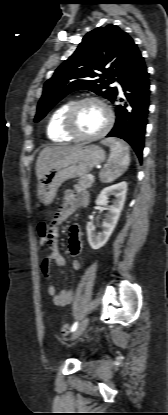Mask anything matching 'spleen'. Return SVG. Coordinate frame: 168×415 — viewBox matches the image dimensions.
<instances>
[{"mask_svg":"<svg viewBox=\"0 0 168 415\" xmlns=\"http://www.w3.org/2000/svg\"><path fill=\"white\" fill-rule=\"evenodd\" d=\"M110 147V156L104 169L99 173L102 183H111L120 177L130 164L128 145L116 138H107L101 142Z\"/></svg>","mask_w":168,"mask_h":415,"instance_id":"spleen-1","label":"spleen"}]
</instances>
